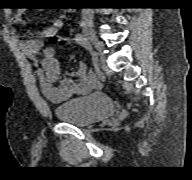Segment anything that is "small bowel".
Here are the masks:
<instances>
[{
  "label": "small bowel",
  "mask_w": 192,
  "mask_h": 180,
  "mask_svg": "<svg viewBox=\"0 0 192 180\" xmlns=\"http://www.w3.org/2000/svg\"><path fill=\"white\" fill-rule=\"evenodd\" d=\"M63 18L54 19L46 27L41 36L52 37L63 25ZM22 12H17L13 22L21 23ZM22 49L29 56L36 66V72L40 80V88L44 97L52 103H61L76 95L87 94L93 89L101 86L98 75L89 73L85 64H80L76 71V80L69 78L60 79V66L55 58V51L51 46H43L40 39H29L22 42Z\"/></svg>",
  "instance_id": "small-bowel-1"
}]
</instances>
